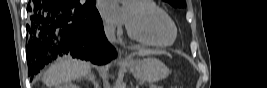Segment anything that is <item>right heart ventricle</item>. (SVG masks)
Segmentation results:
<instances>
[{
  "instance_id": "obj_1",
  "label": "right heart ventricle",
  "mask_w": 267,
  "mask_h": 88,
  "mask_svg": "<svg viewBox=\"0 0 267 88\" xmlns=\"http://www.w3.org/2000/svg\"><path fill=\"white\" fill-rule=\"evenodd\" d=\"M146 4H148L152 8H158L161 9L155 2L150 0H143ZM162 10V9H161ZM163 11V10H162ZM164 12V11H163Z\"/></svg>"
}]
</instances>
